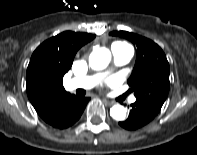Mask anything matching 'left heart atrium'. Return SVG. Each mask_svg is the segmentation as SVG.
<instances>
[{
	"label": "left heart atrium",
	"instance_id": "1",
	"mask_svg": "<svg viewBox=\"0 0 197 155\" xmlns=\"http://www.w3.org/2000/svg\"><path fill=\"white\" fill-rule=\"evenodd\" d=\"M110 83H112V84L115 83V80L114 79L110 80Z\"/></svg>",
	"mask_w": 197,
	"mask_h": 155
}]
</instances>
